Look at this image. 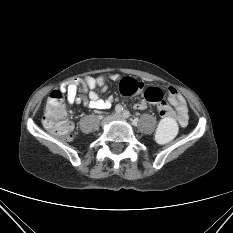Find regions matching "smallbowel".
<instances>
[{
    "mask_svg": "<svg viewBox=\"0 0 233 233\" xmlns=\"http://www.w3.org/2000/svg\"><path fill=\"white\" fill-rule=\"evenodd\" d=\"M116 77V75L114 76ZM105 78L100 77L98 79L86 78L85 85L80 89L81 80L73 79L67 85H63L60 90L66 94L67 100L70 104H82L85 107L104 110L111 107V100H103L100 98L97 88H104ZM81 91L82 95H79ZM169 102L176 110V118L181 126L187 124V105L184 97L178 93L174 88H169ZM165 106H168L164 102ZM147 107L146 102L141 100L135 105L137 110H145ZM162 105L159 107V111ZM169 107V106H168Z\"/></svg>",
    "mask_w": 233,
    "mask_h": 233,
    "instance_id": "small-bowel-1",
    "label": "small bowel"
}]
</instances>
